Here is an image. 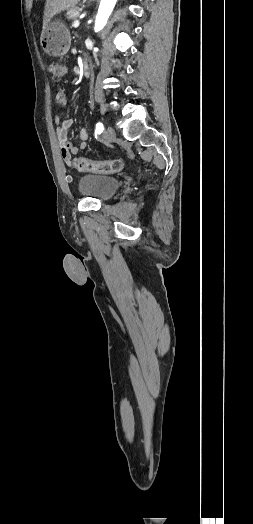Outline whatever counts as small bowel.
<instances>
[{"label": "small bowel", "mask_w": 253, "mask_h": 524, "mask_svg": "<svg viewBox=\"0 0 253 524\" xmlns=\"http://www.w3.org/2000/svg\"><path fill=\"white\" fill-rule=\"evenodd\" d=\"M58 104L65 106L68 103V97L63 91H58L55 95ZM55 122L60 124L56 130L58 142L61 148V156L63 161L73 167L72 156L79 152V149H86L88 140V131L85 127L81 128L79 132L80 143L75 145L68 140V131L73 125V120L68 118L61 121L60 116L55 117Z\"/></svg>", "instance_id": "small-bowel-1"}]
</instances>
